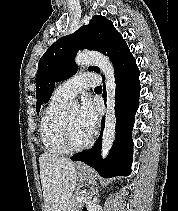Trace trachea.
Instances as JSON below:
<instances>
[{
  "label": "trachea",
  "mask_w": 178,
  "mask_h": 211,
  "mask_svg": "<svg viewBox=\"0 0 178 211\" xmlns=\"http://www.w3.org/2000/svg\"><path fill=\"white\" fill-rule=\"evenodd\" d=\"M95 89L96 90H101L102 89V86H97Z\"/></svg>",
  "instance_id": "trachea-1"
}]
</instances>
